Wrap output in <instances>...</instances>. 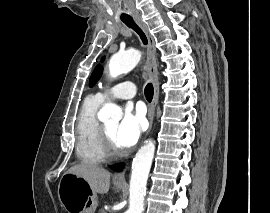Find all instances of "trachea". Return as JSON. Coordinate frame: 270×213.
Segmentation results:
<instances>
[{"mask_svg":"<svg viewBox=\"0 0 270 213\" xmlns=\"http://www.w3.org/2000/svg\"><path fill=\"white\" fill-rule=\"evenodd\" d=\"M129 28H132L141 38L143 44H147V37L142 29L134 22L132 18L122 20ZM154 94V88L152 83H148L145 87V97L151 102Z\"/></svg>","mask_w":270,"mask_h":213,"instance_id":"3493384b","label":"trachea"}]
</instances>
